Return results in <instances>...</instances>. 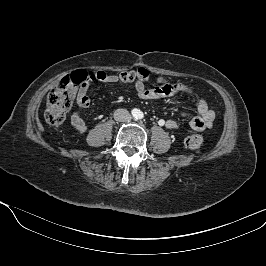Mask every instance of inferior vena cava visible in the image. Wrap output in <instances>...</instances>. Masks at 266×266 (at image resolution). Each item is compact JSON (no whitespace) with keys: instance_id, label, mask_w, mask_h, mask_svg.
I'll return each instance as SVG.
<instances>
[{"instance_id":"1","label":"inferior vena cava","mask_w":266,"mask_h":266,"mask_svg":"<svg viewBox=\"0 0 266 266\" xmlns=\"http://www.w3.org/2000/svg\"><path fill=\"white\" fill-rule=\"evenodd\" d=\"M131 115L126 109H117L114 112V119L116 121H122V122H127L131 120Z\"/></svg>"}]
</instances>
